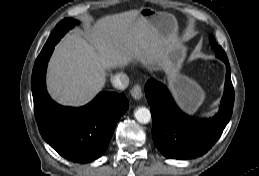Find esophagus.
<instances>
[{
	"label": "esophagus",
	"instance_id": "1",
	"mask_svg": "<svg viewBox=\"0 0 259 176\" xmlns=\"http://www.w3.org/2000/svg\"><path fill=\"white\" fill-rule=\"evenodd\" d=\"M131 96L135 99V100H139L142 97V87L139 84H136L132 90H131Z\"/></svg>",
	"mask_w": 259,
	"mask_h": 176
}]
</instances>
